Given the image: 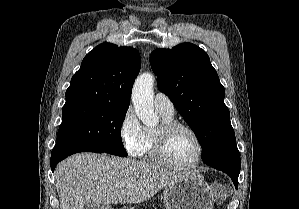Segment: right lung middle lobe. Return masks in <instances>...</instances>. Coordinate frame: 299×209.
I'll return each mask as SVG.
<instances>
[{"instance_id":"1","label":"right lung middle lobe","mask_w":299,"mask_h":209,"mask_svg":"<svg viewBox=\"0 0 299 209\" xmlns=\"http://www.w3.org/2000/svg\"><path fill=\"white\" fill-rule=\"evenodd\" d=\"M128 107L100 104L63 106L57 143L78 145L127 156L121 127Z\"/></svg>"}]
</instances>
